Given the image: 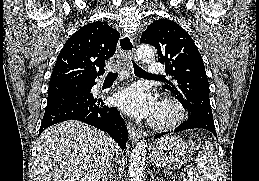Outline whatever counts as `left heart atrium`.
I'll return each instance as SVG.
<instances>
[{
	"instance_id": "obj_1",
	"label": "left heart atrium",
	"mask_w": 259,
	"mask_h": 181,
	"mask_svg": "<svg viewBox=\"0 0 259 181\" xmlns=\"http://www.w3.org/2000/svg\"><path fill=\"white\" fill-rule=\"evenodd\" d=\"M113 102L123 112L136 118L155 117L159 109L155 99L139 85H132L117 92Z\"/></svg>"
}]
</instances>
